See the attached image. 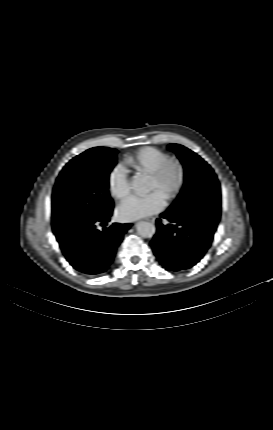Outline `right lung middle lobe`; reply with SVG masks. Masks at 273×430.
Listing matches in <instances>:
<instances>
[{"mask_svg": "<svg viewBox=\"0 0 273 430\" xmlns=\"http://www.w3.org/2000/svg\"><path fill=\"white\" fill-rule=\"evenodd\" d=\"M116 149L91 148L74 157L56 180L52 196L54 234L92 221L113 210L107 190Z\"/></svg>", "mask_w": 273, "mask_h": 430, "instance_id": "right-lung-middle-lobe-1", "label": "right lung middle lobe"}]
</instances>
